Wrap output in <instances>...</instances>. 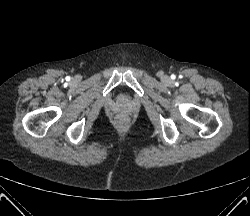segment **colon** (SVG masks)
Returning <instances> with one entry per match:
<instances>
[{
	"instance_id": "obj_1",
	"label": "colon",
	"mask_w": 250,
	"mask_h": 216,
	"mask_svg": "<svg viewBox=\"0 0 250 216\" xmlns=\"http://www.w3.org/2000/svg\"><path fill=\"white\" fill-rule=\"evenodd\" d=\"M116 123L119 125V126H124L125 123H126V120L123 116H118L117 119H116Z\"/></svg>"
}]
</instances>
